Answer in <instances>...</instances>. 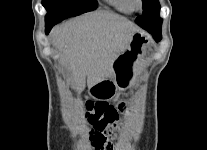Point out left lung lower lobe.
<instances>
[{"instance_id": "1", "label": "left lung lower lobe", "mask_w": 207, "mask_h": 150, "mask_svg": "<svg viewBox=\"0 0 207 150\" xmlns=\"http://www.w3.org/2000/svg\"><path fill=\"white\" fill-rule=\"evenodd\" d=\"M151 34L153 35V38L156 40V41H160L161 40V32L159 33H155V32H151Z\"/></svg>"}]
</instances>
